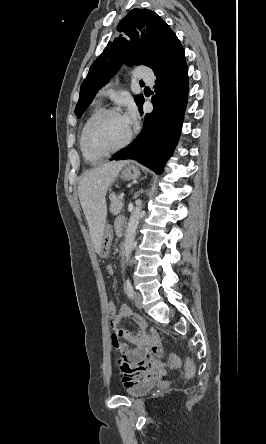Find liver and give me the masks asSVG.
Here are the masks:
<instances>
[{"label":"liver","instance_id":"obj_1","mask_svg":"<svg viewBox=\"0 0 266 444\" xmlns=\"http://www.w3.org/2000/svg\"><path fill=\"white\" fill-rule=\"evenodd\" d=\"M128 160L109 162L94 168L82 176L78 196L85 214L95 251L100 252L106 224V192Z\"/></svg>","mask_w":266,"mask_h":444}]
</instances>
